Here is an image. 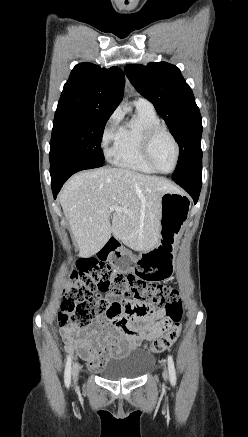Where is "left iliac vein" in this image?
Instances as JSON below:
<instances>
[{"label": "left iliac vein", "mask_w": 248, "mask_h": 437, "mask_svg": "<svg viewBox=\"0 0 248 437\" xmlns=\"http://www.w3.org/2000/svg\"><path fill=\"white\" fill-rule=\"evenodd\" d=\"M163 379L165 380V381H167L168 380V378H169V373H168V370L166 369V368H164V370H163Z\"/></svg>", "instance_id": "obj_1"}]
</instances>
